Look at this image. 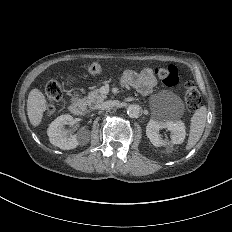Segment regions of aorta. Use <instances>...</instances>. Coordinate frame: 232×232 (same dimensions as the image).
I'll return each mask as SVG.
<instances>
[{"label":"aorta","instance_id":"obj_1","mask_svg":"<svg viewBox=\"0 0 232 232\" xmlns=\"http://www.w3.org/2000/svg\"><path fill=\"white\" fill-rule=\"evenodd\" d=\"M127 114L131 118H138L141 114V107L137 104H131L127 107Z\"/></svg>","mask_w":232,"mask_h":232}]
</instances>
